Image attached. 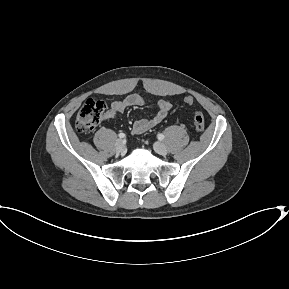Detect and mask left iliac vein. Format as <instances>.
Listing matches in <instances>:
<instances>
[{
	"label": "left iliac vein",
	"mask_w": 289,
	"mask_h": 289,
	"mask_svg": "<svg viewBox=\"0 0 289 289\" xmlns=\"http://www.w3.org/2000/svg\"><path fill=\"white\" fill-rule=\"evenodd\" d=\"M154 150H155L158 154H161V155L167 154V147H166L165 144L162 143V142H156V143L154 144Z\"/></svg>",
	"instance_id": "4c4485c4"
}]
</instances>
